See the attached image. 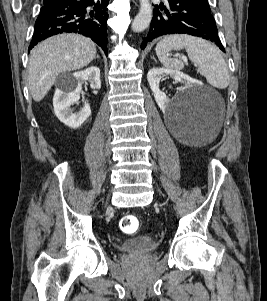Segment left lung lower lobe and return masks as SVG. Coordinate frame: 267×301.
Instances as JSON below:
<instances>
[{
	"mask_svg": "<svg viewBox=\"0 0 267 301\" xmlns=\"http://www.w3.org/2000/svg\"><path fill=\"white\" fill-rule=\"evenodd\" d=\"M168 7L155 6L149 31L141 49L148 42L168 34H190L210 40L225 52L218 38L215 20L210 10L194 0H167Z\"/></svg>",
	"mask_w": 267,
	"mask_h": 301,
	"instance_id": "left-lung-lower-lobe-1",
	"label": "left lung lower lobe"
}]
</instances>
